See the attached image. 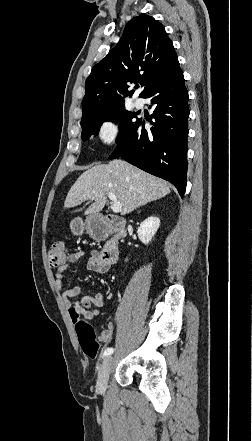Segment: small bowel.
<instances>
[{
	"mask_svg": "<svg viewBox=\"0 0 252 441\" xmlns=\"http://www.w3.org/2000/svg\"><path fill=\"white\" fill-rule=\"evenodd\" d=\"M86 258L87 269L91 272L105 273L110 266H107L101 259L97 251H91L90 254L85 257L82 252H75L69 254L65 261L58 267L54 275V281L57 289L62 292V297L66 300L67 309L70 318L74 323L80 320L81 317L85 319H94L101 315V308L106 306V296L102 293H95L94 295H83V288L81 286H75L73 288L62 291L64 284V272L65 270ZM70 298H75L74 301H68ZM115 331L114 322H109L106 328L99 336V340L102 342H108L112 339Z\"/></svg>",
	"mask_w": 252,
	"mask_h": 441,
	"instance_id": "1",
	"label": "small bowel"
}]
</instances>
